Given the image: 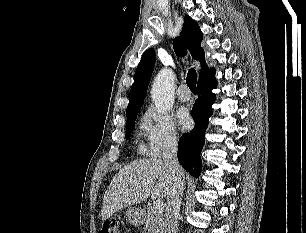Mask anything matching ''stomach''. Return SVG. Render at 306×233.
<instances>
[{
	"mask_svg": "<svg viewBox=\"0 0 306 233\" xmlns=\"http://www.w3.org/2000/svg\"><path fill=\"white\" fill-rule=\"evenodd\" d=\"M126 217L130 224L139 226L144 223L145 216L142 209L137 207H130L126 210Z\"/></svg>",
	"mask_w": 306,
	"mask_h": 233,
	"instance_id": "1",
	"label": "stomach"
}]
</instances>
